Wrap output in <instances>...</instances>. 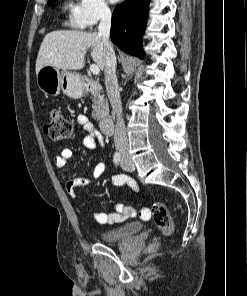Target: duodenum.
I'll return each instance as SVG.
<instances>
[{"label":"duodenum","instance_id":"1","mask_svg":"<svg viewBox=\"0 0 247 296\" xmlns=\"http://www.w3.org/2000/svg\"><path fill=\"white\" fill-rule=\"evenodd\" d=\"M85 89L89 92H97L101 89V85L94 80L85 81ZM100 130L103 134L112 133L114 121L111 116H104L100 119L99 122Z\"/></svg>","mask_w":247,"mask_h":296}]
</instances>
